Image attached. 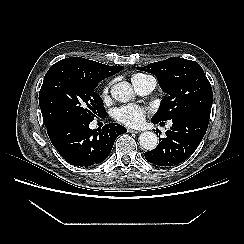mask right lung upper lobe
Returning <instances> with one entry per match:
<instances>
[{
    "label": "right lung upper lobe",
    "mask_w": 244,
    "mask_h": 244,
    "mask_svg": "<svg viewBox=\"0 0 244 244\" xmlns=\"http://www.w3.org/2000/svg\"><path fill=\"white\" fill-rule=\"evenodd\" d=\"M124 66H108L81 57H71L60 60L50 67L58 69L71 76L80 78L88 83H97L121 71Z\"/></svg>",
    "instance_id": "obj_1"
}]
</instances>
